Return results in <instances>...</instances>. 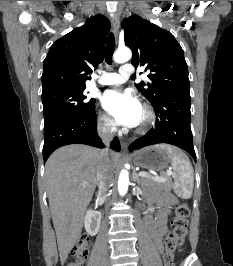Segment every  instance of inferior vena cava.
Here are the masks:
<instances>
[{
	"instance_id": "obj_1",
	"label": "inferior vena cava",
	"mask_w": 233,
	"mask_h": 266,
	"mask_svg": "<svg viewBox=\"0 0 233 266\" xmlns=\"http://www.w3.org/2000/svg\"><path fill=\"white\" fill-rule=\"evenodd\" d=\"M115 130V125L111 121H107L98 126V134L107 147L113 140V133ZM112 177L113 175L108 166V148H105L100 151V166L97 172V183L101 194L107 192Z\"/></svg>"
}]
</instances>
